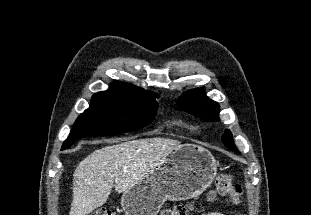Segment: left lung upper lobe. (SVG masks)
<instances>
[{
    "label": "left lung upper lobe",
    "instance_id": "1",
    "mask_svg": "<svg viewBox=\"0 0 311 215\" xmlns=\"http://www.w3.org/2000/svg\"><path fill=\"white\" fill-rule=\"evenodd\" d=\"M177 106L179 109L199 116L206 121L219 119L218 103L207 98L203 89H194L184 93L177 101ZM221 139L226 147L237 152L232 134L229 130L222 135Z\"/></svg>",
    "mask_w": 311,
    "mask_h": 215
}]
</instances>
